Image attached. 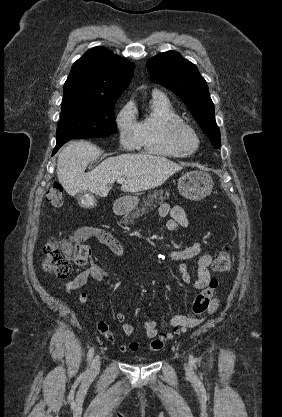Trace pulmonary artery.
Segmentation results:
<instances>
[{
    "instance_id": "e3ab8cb5",
    "label": "pulmonary artery",
    "mask_w": 282,
    "mask_h": 417,
    "mask_svg": "<svg viewBox=\"0 0 282 417\" xmlns=\"http://www.w3.org/2000/svg\"><path fill=\"white\" fill-rule=\"evenodd\" d=\"M153 95L154 96H165V94L159 90H154L153 91Z\"/></svg>"
}]
</instances>
